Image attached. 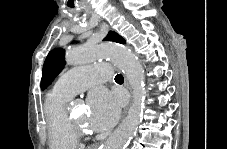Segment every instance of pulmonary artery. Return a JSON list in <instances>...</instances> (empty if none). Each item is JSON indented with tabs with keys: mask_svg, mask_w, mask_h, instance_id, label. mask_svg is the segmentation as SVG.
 <instances>
[{
	"mask_svg": "<svg viewBox=\"0 0 227 149\" xmlns=\"http://www.w3.org/2000/svg\"><path fill=\"white\" fill-rule=\"evenodd\" d=\"M111 66L106 63L77 66L64 75L55 83L54 90L73 97L76 94L85 91L93 84L104 83L109 80Z\"/></svg>",
	"mask_w": 227,
	"mask_h": 149,
	"instance_id": "obj_1",
	"label": "pulmonary artery"
}]
</instances>
